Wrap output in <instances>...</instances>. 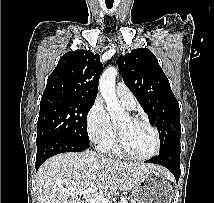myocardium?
I'll use <instances>...</instances> for the list:
<instances>
[{
	"label": "myocardium",
	"mask_w": 214,
	"mask_h": 203,
	"mask_svg": "<svg viewBox=\"0 0 214 203\" xmlns=\"http://www.w3.org/2000/svg\"><path fill=\"white\" fill-rule=\"evenodd\" d=\"M129 118L133 122L142 123V124L148 126L152 130V132L154 134V138H155V146H154L153 151L148 155L138 156V155L131 153L125 146L122 129L118 126V128H117V147H118L119 152L121 154H123L124 156H126L127 158H130L132 160H137V161H146V160H150V159L154 158L159 153L160 146H161V138H160L159 131L157 130V128L154 125H152L148 120H146L144 118H140V117H136V116H129Z\"/></svg>",
	"instance_id": "myocardium-1"
}]
</instances>
